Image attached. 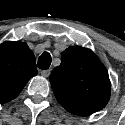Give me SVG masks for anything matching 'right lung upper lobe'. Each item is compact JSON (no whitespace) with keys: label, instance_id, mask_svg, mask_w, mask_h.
Here are the masks:
<instances>
[{"label":"right lung upper lobe","instance_id":"cb5924a9","mask_svg":"<svg viewBox=\"0 0 125 125\" xmlns=\"http://www.w3.org/2000/svg\"><path fill=\"white\" fill-rule=\"evenodd\" d=\"M35 56L26 43L5 41L0 45V103L16 98L37 75Z\"/></svg>","mask_w":125,"mask_h":125}]
</instances>
